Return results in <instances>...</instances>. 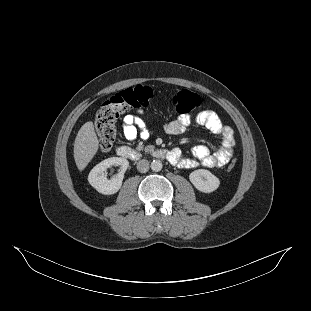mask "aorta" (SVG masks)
Listing matches in <instances>:
<instances>
[{
    "label": "aorta",
    "instance_id": "aorta-1",
    "mask_svg": "<svg viewBox=\"0 0 311 311\" xmlns=\"http://www.w3.org/2000/svg\"><path fill=\"white\" fill-rule=\"evenodd\" d=\"M163 164L160 160L156 159L151 162V169L155 172L162 170Z\"/></svg>",
    "mask_w": 311,
    "mask_h": 311
}]
</instances>
